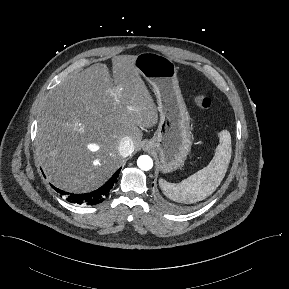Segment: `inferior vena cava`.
Wrapping results in <instances>:
<instances>
[{
	"label": "inferior vena cava",
	"instance_id": "obj_1",
	"mask_svg": "<svg viewBox=\"0 0 289 289\" xmlns=\"http://www.w3.org/2000/svg\"><path fill=\"white\" fill-rule=\"evenodd\" d=\"M118 150L123 157H127L130 154H132V152L134 151V145L131 138L129 137L122 138V140L119 143Z\"/></svg>",
	"mask_w": 289,
	"mask_h": 289
}]
</instances>
